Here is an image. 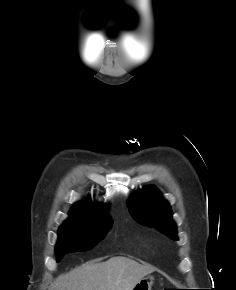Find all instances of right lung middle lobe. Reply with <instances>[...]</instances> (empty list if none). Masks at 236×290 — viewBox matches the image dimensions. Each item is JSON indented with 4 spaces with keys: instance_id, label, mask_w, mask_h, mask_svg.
<instances>
[{
    "instance_id": "dd1d6c3e",
    "label": "right lung middle lobe",
    "mask_w": 236,
    "mask_h": 290,
    "mask_svg": "<svg viewBox=\"0 0 236 290\" xmlns=\"http://www.w3.org/2000/svg\"><path fill=\"white\" fill-rule=\"evenodd\" d=\"M111 226L112 221L110 219L87 222L67 221L59 229L55 247L57 262L66 253L91 249L105 237Z\"/></svg>"
}]
</instances>
